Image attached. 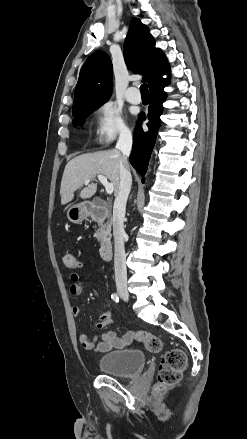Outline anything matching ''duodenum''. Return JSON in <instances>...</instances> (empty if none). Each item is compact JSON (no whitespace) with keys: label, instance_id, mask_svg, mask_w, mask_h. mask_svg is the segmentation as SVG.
Here are the masks:
<instances>
[{"label":"duodenum","instance_id":"1","mask_svg":"<svg viewBox=\"0 0 247 439\" xmlns=\"http://www.w3.org/2000/svg\"><path fill=\"white\" fill-rule=\"evenodd\" d=\"M88 215L95 221H102L107 216V208L100 204H89L87 207ZM113 254V244L111 241H104L100 246V256L104 260L111 259Z\"/></svg>","mask_w":247,"mask_h":439}]
</instances>
